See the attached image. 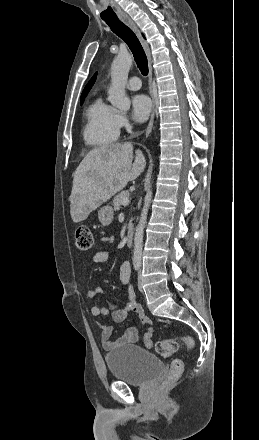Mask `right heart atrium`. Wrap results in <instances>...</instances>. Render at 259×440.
Returning a JSON list of instances; mask_svg holds the SVG:
<instances>
[{
	"instance_id": "right-heart-atrium-1",
	"label": "right heart atrium",
	"mask_w": 259,
	"mask_h": 440,
	"mask_svg": "<svg viewBox=\"0 0 259 440\" xmlns=\"http://www.w3.org/2000/svg\"><path fill=\"white\" fill-rule=\"evenodd\" d=\"M116 125L119 130L121 129H128L129 128V120L128 117L121 112H117L116 114Z\"/></svg>"
}]
</instances>
